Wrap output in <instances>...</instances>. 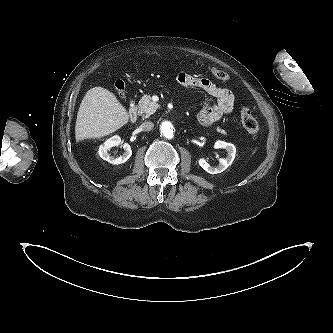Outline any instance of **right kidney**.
Masks as SVG:
<instances>
[{
    "label": "right kidney",
    "mask_w": 333,
    "mask_h": 333,
    "mask_svg": "<svg viewBox=\"0 0 333 333\" xmlns=\"http://www.w3.org/2000/svg\"><path fill=\"white\" fill-rule=\"evenodd\" d=\"M122 144V147L124 148V153L118 157L114 158L109 154V150L114 147ZM100 157L106 161H108L111 164L118 165L125 163L132 155L131 146L128 143H122L121 138L117 135L110 137L107 139L103 145L99 147L98 151Z\"/></svg>",
    "instance_id": "obj_1"
}]
</instances>
